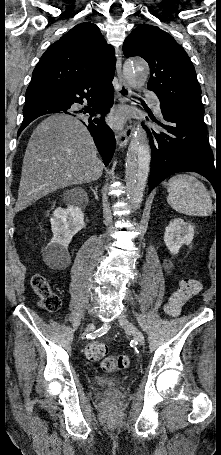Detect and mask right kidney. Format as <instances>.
Returning a JSON list of instances; mask_svg holds the SVG:
<instances>
[{
    "mask_svg": "<svg viewBox=\"0 0 221 455\" xmlns=\"http://www.w3.org/2000/svg\"><path fill=\"white\" fill-rule=\"evenodd\" d=\"M50 222L53 238L45 247L43 255L47 262L62 266L70 259L68 245L72 237L85 227L84 214L78 206L58 207Z\"/></svg>",
    "mask_w": 221,
    "mask_h": 455,
    "instance_id": "obj_1",
    "label": "right kidney"
}]
</instances>
